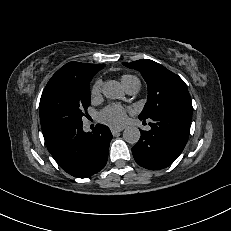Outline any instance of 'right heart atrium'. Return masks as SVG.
Here are the masks:
<instances>
[{
    "label": "right heart atrium",
    "mask_w": 231,
    "mask_h": 231,
    "mask_svg": "<svg viewBox=\"0 0 231 231\" xmlns=\"http://www.w3.org/2000/svg\"><path fill=\"white\" fill-rule=\"evenodd\" d=\"M101 89H102V81L100 79H97L91 87V96L93 98L98 97L101 93Z\"/></svg>",
    "instance_id": "1"
}]
</instances>
